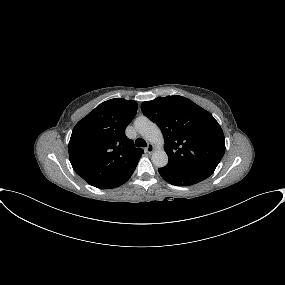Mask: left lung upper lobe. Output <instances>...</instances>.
Returning a JSON list of instances; mask_svg holds the SVG:
<instances>
[{
    "label": "left lung upper lobe",
    "instance_id": "1",
    "mask_svg": "<svg viewBox=\"0 0 285 285\" xmlns=\"http://www.w3.org/2000/svg\"><path fill=\"white\" fill-rule=\"evenodd\" d=\"M145 116L161 129L167 169L211 175L225 153L223 131L206 110L188 98L173 95L141 104Z\"/></svg>",
    "mask_w": 285,
    "mask_h": 285
}]
</instances>
